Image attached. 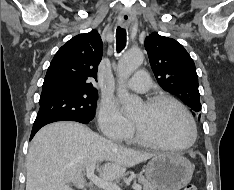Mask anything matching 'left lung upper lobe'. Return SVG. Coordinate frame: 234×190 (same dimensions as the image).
<instances>
[{
  "label": "left lung upper lobe",
  "instance_id": "obj_1",
  "mask_svg": "<svg viewBox=\"0 0 234 190\" xmlns=\"http://www.w3.org/2000/svg\"><path fill=\"white\" fill-rule=\"evenodd\" d=\"M145 49L162 88L180 98L193 115L200 117L198 75L185 48L172 38L152 33L145 39Z\"/></svg>",
  "mask_w": 234,
  "mask_h": 190
}]
</instances>
